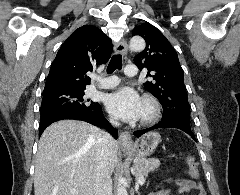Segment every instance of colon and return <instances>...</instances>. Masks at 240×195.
Wrapping results in <instances>:
<instances>
[{"mask_svg": "<svg viewBox=\"0 0 240 195\" xmlns=\"http://www.w3.org/2000/svg\"><path fill=\"white\" fill-rule=\"evenodd\" d=\"M186 166H190V174L193 175V178H198V168L195 167V163L191 162V156L187 155L186 156ZM202 195H204V193H201Z\"/></svg>", "mask_w": 240, "mask_h": 195, "instance_id": "5ec220e1", "label": "colon"}]
</instances>
